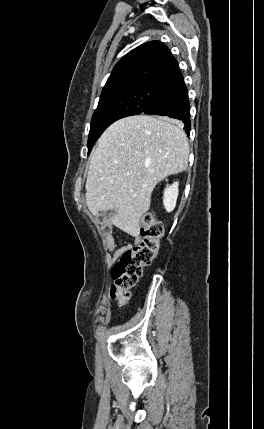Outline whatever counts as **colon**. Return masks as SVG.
I'll return each mask as SVG.
<instances>
[{
	"label": "colon",
	"instance_id": "obj_1",
	"mask_svg": "<svg viewBox=\"0 0 264 429\" xmlns=\"http://www.w3.org/2000/svg\"><path fill=\"white\" fill-rule=\"evenodd\" d=\"M102 221L103 218H99V222ZM140 236V242L124 251L111 270L113 283L110 295L118 304L128 301L130 290L137 283L143 268L150 265L157 254L163 236V226L150 214H146L142 218Z\"/></svg>",
	"mask_w": 264,
	"mask_h": 429
}]
</instances>
